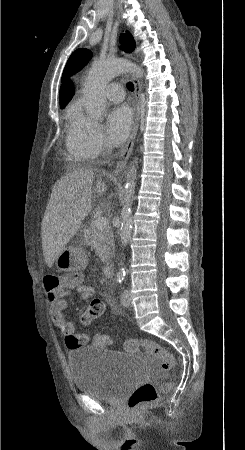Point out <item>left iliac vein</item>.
I'll return each mask as SVG.
<instances>
[{
	"label": "left iliac vein",
	"mask_w": 245,
	"mask_h": 450,
	"mask_svg": "<svg viewBox=\"0 0 245 450\" xmlns=\"http://www.w3.org/2000/svg\"><path fill=\"white\" fill-rule=\"evenodd\" d=\"M121 304L124 307H130L131 306V298H130V292L129 290L125 289L121 294Z\"/></svg>",
	"instance_id": "obj_1"
}]
</instances>
